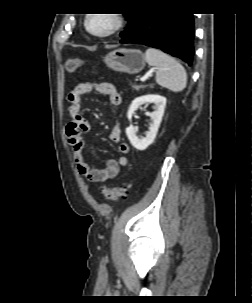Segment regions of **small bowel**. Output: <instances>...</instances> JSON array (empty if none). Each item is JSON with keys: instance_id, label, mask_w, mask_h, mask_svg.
<instances>
[{"instance_id": "1", "label": "small bowel", "mask_w": 252, "mask_h": 303, "mask_svg": "<svg viewBox=\"0 0 252 303\" xmlns=\"http://www.w3.org/2000/svg\"><path fill=\"white\" fill-rule=\"evenodd\" d=\"M96 92L108 97L110 103L119 106L122 98L114 85L110 83L83 82L72 89L68 96L69 114L71 125L67 129V137L73 148V157L76 169L80 175L85 176L91 182H105L114 178L122 167L128 163L127 154L129 145L122 140L121 125L116 121L109 133L111 142L117 144L119 155L109 159L102 169L93 168L85 160L83 151L85 147L84 134L91 129L90 122L82 115V98L85 94Z\"/></svg>"}]
</instances>
